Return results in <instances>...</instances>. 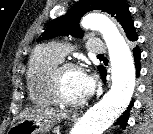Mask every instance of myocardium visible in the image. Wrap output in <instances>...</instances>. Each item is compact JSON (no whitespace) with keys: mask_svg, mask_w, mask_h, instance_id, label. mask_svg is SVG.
<instances>
[{"mask_svg":"<svg viewBox=\"0 0 153 134\" xmlns=\"http://www.w3.org/2000/svg\"><path fill=\"white\" fill-rule=\"evenodd\" d=\"M66 70H77L83 72V67L74 62H60L58 65L54 67L51 72V89L54 97L58 101L59 104L65 106H80L83 105L86 99L82 100H70L65 97L62 91V75Z\"/></svg>","mask_w":153,"mask_h":134,"instance_id":"obj_1","label":"myocardium"}]
</instances>
